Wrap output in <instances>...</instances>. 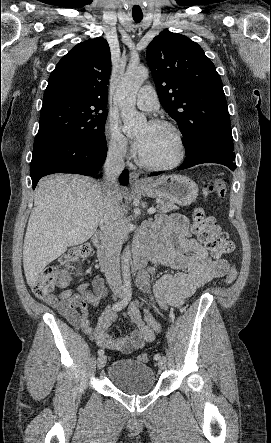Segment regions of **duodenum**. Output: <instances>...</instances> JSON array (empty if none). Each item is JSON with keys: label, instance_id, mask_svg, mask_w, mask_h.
Masks as SVG:
<instances>
[{"label": "duodenum", "instance_id": "duodenum-1", "mask_svg": "<svg viewBox=\"0 0 271 443\" xmlns=\"http://www.w3.org/2000/svg\"><path fill=\"white\" fill-rule=\"evenodd\" d=\"M94 246L97 250V256L102 271L105 274H112L117 261L115 244L103 234H97L93 238ZM146 253L139 254L135 259L136 268H141L146 262Z\"/></svg>", "mask_w": 271, "mask_h": 443}]
</instances>
